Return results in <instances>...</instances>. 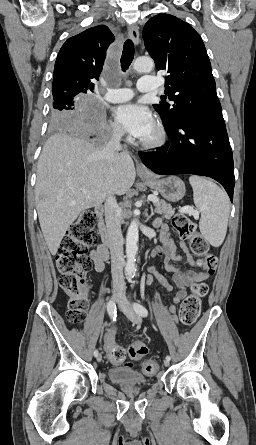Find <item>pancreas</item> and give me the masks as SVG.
Listing matches in <instances>:
<instances>
[{
	"label": "pancreas",
	"instance_id": "pancreas-1",
	"mask_svg": "<svg viewBox=\"0 0 256 445\" xmlns=\"http://www.w3.org/2000/svg\"><path fill=\"white\" fill-rule=\"evenodd\" d=\"M154 206L156 208V211L163 215V218L170 219L174 215V210L172 209V206L168 203H166L164 200H159L158 202H154Z\"/></svg>",
	"mask_w": 256,
	"mask_h": 445
}]
</instances>
